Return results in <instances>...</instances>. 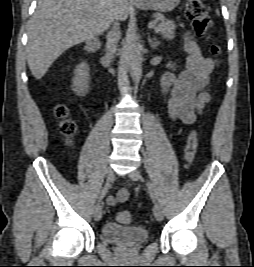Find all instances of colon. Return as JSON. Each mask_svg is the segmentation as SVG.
Returning <instances> with one entry per match:
<instances>
[{
    "instance_id": "colon-1",
    "label": "colon",
    "mask_w": 254,
    "mask_h": 267,
    "mask_svg": "<svg viewBox=\"0 0 254 267\" xmlns=\"http://www.w3.org/2000/svg\"><path fill=\"white\" fill-rule=\"evenodd\" d=\"M186 15L192 21L194 31L199 36H208L211 28V19L203 0H187ZM211 53L218 56L221 52L218 45L211 46ZM55 116L60 120L61 133L66 137L68 142H71L73 135L76 132V124L70 119V112L66 105L58 104L54 109ZM198 149V134L192 130L187 139L185 147V159L187 164H191L196 156ZM131 214L128 211H120L117 213V220L121 224H129L131 222Z\"/></svg>"
}]
</instances>
